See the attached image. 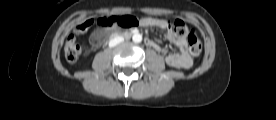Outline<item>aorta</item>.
<instances>
[{
	"label": "aorta",
	"mask_w": 276,
	"mask_h": 120,
	"mask_svg": "<svg viewBox=\"0 0 276 120\" xmlns=\"http://www.w3.org/2000/svg\"><path fill=\"white\" fill-rule=\"evenodd\" d=\"M132 40L133 42L135 43H140L142 41V35L139 34V33H135L133 36H132Z\"/></svg>",
	"instance_id": "1"
}]
</instances>
